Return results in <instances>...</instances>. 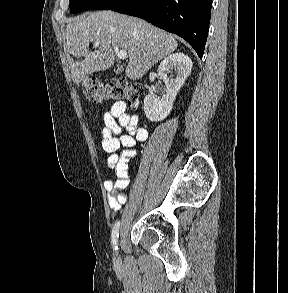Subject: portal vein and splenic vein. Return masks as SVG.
Wrapping results in <instances>:
<instances>
[{
    "label": "portal vein and splenic vein",
    "mask_w": 288,
    "mask_h": 293,
    "mask_svg": "<svg viewBox=\"0 0 288 293\" xmlns=\"http://www.w3.org/2000/svg\"><path fill=\"white\" fill-rule=\"evenodd\" d=\"M100 41H94V45L98 46ZM114 52L117 55L118 59L125 60L127 59V52L125 50H120L117 46H114Z\"/></svg>",
    "instance_id": "obj_1"
}]
</instances>
